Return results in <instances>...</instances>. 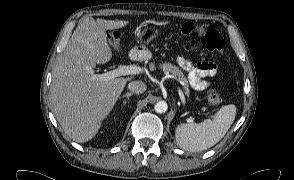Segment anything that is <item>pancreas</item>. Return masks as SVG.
Listing matches in <instances>:
<instances>
[{"label": "pancreas", "instance_id": "pancreas-1", "mask_svg": "<svg viewBox=\"0 0 294 180\" xmlns=\"http://www.w3.org/2000/svg\"><path fill=\"white\" fill-rule=\"evenodd\" d=\"M164 69L165 70H169L171 71L173 74L177 75L178 73L176 71H178V69L175 66L172 65H164Z\"/></svg>", "mask_w": 294, "mask_h": 180}]
</instances>
